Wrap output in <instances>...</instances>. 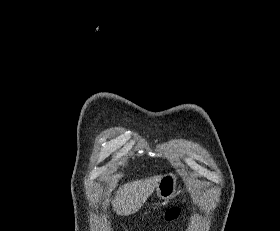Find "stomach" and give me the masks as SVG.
Here are the masks:
<instances>
[{
    "label": "stomach",
    "instance_id": "obj_1",
    "mask_svg": "<svg viewBox=\"0 0 280 231\" xmlns=\"http://www.w3.org/2000/svg\"><path fill=\"white\" fill-rule=\"evenodd\" d=\"M177 191V175L175 173H165L162 175L156 187V193L161 199H173Z\"/></svg>",
    "mask_w": 280,
    "mask_h": 231
}]
</instances>
